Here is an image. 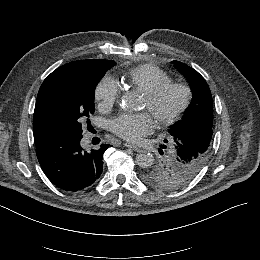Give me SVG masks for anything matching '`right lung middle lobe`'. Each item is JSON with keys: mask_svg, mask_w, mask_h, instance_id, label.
<instances>
[{"mask_svg": "<svg viewBox=\"0 0 260 260\" xmlns=\"http://www.w3.org/2000/svg\"><path fill=\"white\" fill-rule=\"evenodd\" d=\"M110 68L55 73L35 107L33 133L46 141L82 138V126L95 111V88Z\"/></svg>", "mask_w": 260, "mask_h": 260, "instance_id": "dd1d6c3e", "label": "right lung middle lobe"}]
</instances>
